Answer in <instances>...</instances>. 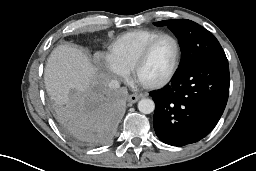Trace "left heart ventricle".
<instances>
[{"instance_id": "left-heart-ventricle-1", "label": "left heart ventricle", "mask_w": 256, "mask_h": 171, "mask_svg": "<svg viewBox=\"0 0 256 171\" xmlns=\"http://www.w3.org/2000/svg\"><path fill=\"white\" fill-rule=\"evenodd\" d=\"M175 45L169 38L161 39L152 49L149 58L139 71V79L145 83L164 78L171 70L175 59Z\"/></svg>"}]
</instances>
